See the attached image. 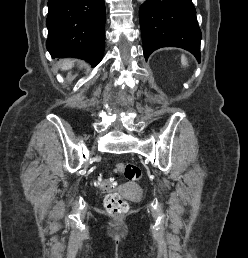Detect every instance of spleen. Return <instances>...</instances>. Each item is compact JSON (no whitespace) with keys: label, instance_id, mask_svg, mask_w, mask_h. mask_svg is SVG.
I'll return each instance as SVG.
<instances>
[{"label":"spleen","instance_id":"obj_1","mask_svg":"<svg viewBox=\"0 0 248 258\" xmlns=\"http://www.w3.org/2000/svg\"><path fill=\"white\" fill-rule=\"evenodd\" d=\"M181 62H182L183 66H187L188 65L187 58L184 55L181 56Z\"/></svg>","mask_w":248,"mask_h":258}]
</instances>
